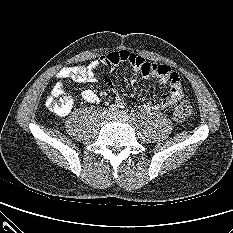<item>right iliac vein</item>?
I'll return each instance as SVG.
<instances>
[{
    "label": "right iliac vein",
    "instance_id": "1",
    "mask_svg": "<svg viewBox=\"0 0 233 233\" xmlns=\"http://www.w3.org/2000/svg\"><path fill=\"white\" fill-rule=\"evenodd\" d=\"M111 118H112V114L107 110L103 111L100 114V119H101L102 124L108 122L109 120H111Z\"/></svg>",
    "mask_w": 233,
    "mask_h": 233
}]
</instances>
